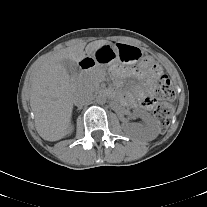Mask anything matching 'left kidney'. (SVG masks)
<instances>
[{"label": "left kidney", "instance_id": "5707ae66", "mask_svg": "<svg viewBox=\"0 0 207 207\" xmlns=\"http://www.w3.org/2000/svg\"><path fill=\"white\" fill-rule=\"evenodd\" d=\"M136 115L144 120L146 127L131 125L129 123L123 124V129L126 133L133 135L139 132L142 137L148 141L154 140L158 136V126L153 117L146 111L138 110Z\"/></svg>", "mask_w": 207, "mask_h": 207}]
</instances>
